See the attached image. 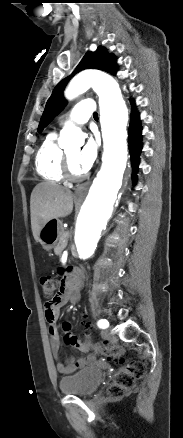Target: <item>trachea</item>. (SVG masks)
<instances>
[{"label":"trachea","mask_w":183,"mask_h":438,"mask_svg":"<svg viewBox=\"0 0 183 438\" xmlns=\"http://www.w3.org/2000/svg\"><path fill=\"white\" fill-rule=\"evenodd\" d=\"M93 117H94L95 119H98V114H97V112H94Z\"/></svg>","instance_id":"trachea-1"}]
</instances>
